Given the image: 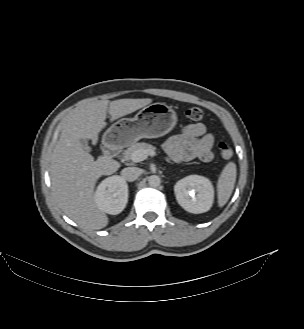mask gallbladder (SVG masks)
Segmentation results:
<instances>
[{
    "instance_id": "gallbladder-1",
    "label": "gallbladder",
    "mask_w": 304,
    "mask_h": 329,
    "mask_svg": "<svg viewBox=\"0 0 304 329\" xmlns=\"http://www.w3.org/2000/svg\"><path fill=\"white\" fill-rule=\"evenodd\" d=\"M79 142L85 151H87V152L91 151V147L88 145L87 139L81 138V139H79Z\"/></svg>"
}]
</instances>
